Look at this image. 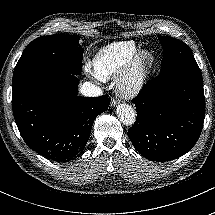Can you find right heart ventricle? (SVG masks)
Here are the masks:
<instances>
[{
	"instance_id": "e07e8e85",
	"label": "right heart ventricle",
	"mask_w": 215,
	"mask_h": 215,
	"mask_svg": "<svg viewBox=\"0 0 215 215\" xmlns=\"http://www.w3.org/2000/svg\"><path fill=\"white\" fill-rule=\"evenodd\" d=\"M139 46L134 41H120L100 48L88 61L92 76L107 80L118 74L129 62Z\"/></svg>"
}]
</instances>
